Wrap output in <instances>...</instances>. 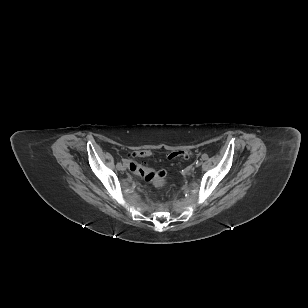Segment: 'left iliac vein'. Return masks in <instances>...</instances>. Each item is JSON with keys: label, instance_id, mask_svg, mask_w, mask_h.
I'll return each mask as SVG.
<instances>
[{"label": "left iliac vein", "instance_id": "obj_1", "mask_svg": "<svg viewBox=\"0 0 308 308\" xmlns=\"http://www.w3.org/2000/svg\"><path fill=\"white\" fill-rule=\"evenodd\" d=\"M201 165V162H196L195 166L199 167Z\"/></svg>", "mask_w": 308, "mask_h": 308}]
</instances>
